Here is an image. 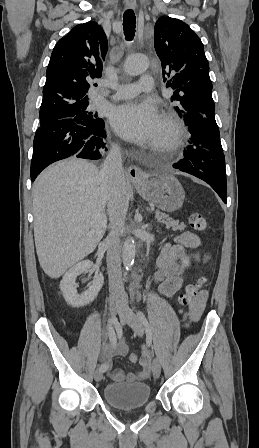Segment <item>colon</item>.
I'll list each match as a JSON object with an SVG mask.
<instances>
[{
  "instance_id": "5ec220e1",
  "label": "colon",
  "mask_w": 259,
  "mask_h": 448,
  "mask_svg": "<svg viewBox=\"0 0 259 448\" xmlns=\"http://www.w3.org/2000/svg\"><path fill=\"white\" fill-rule=\"evenodd\" d=\"M189 223L192 226L193 229L198 231H203L207 228L208 224L205 219V217L197 212H193L189 214ZM207 279L206 278H200L198 281H196L193 284H189L184 292L179 296V304L182 307V311L185 308L191 307L195 299L199 296V294L202 292V289L206 285ZM129 360L132 363H136L138 361V355L137 354H130Z\"/></svg>"
}]
</instances>
